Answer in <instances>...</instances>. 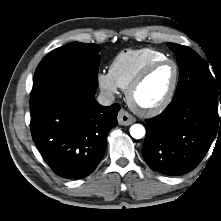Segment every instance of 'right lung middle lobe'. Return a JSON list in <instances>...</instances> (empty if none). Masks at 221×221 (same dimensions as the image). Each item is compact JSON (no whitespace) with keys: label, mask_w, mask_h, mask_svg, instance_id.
Here are the masks:
<instances>
[{"label":"right lung middle lobe","mask_w":221,"mask_h":221,"mask_svg":"<svg viewBox=\"0 0 221 221\" xmlns=\"http://www.w3.org/2000/svg\"><path fill=\"white\" fill-rule=\"evenodd\" d=\"M99 50L97 44L72 42L50 52L35 71L30 104L63 81L78 80L97 87Z\"/></svg>","instance_id":"obj_1"}]
</instances>
